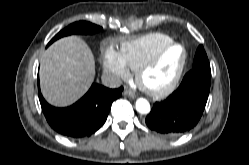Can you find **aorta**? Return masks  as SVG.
I'll return each instance as SVG.
<instances>
[{
    "label": "aorta",
    "mask_w": 249,
    "mask_h": 165,
    "mask_svg": "<svg viewBox=\"0 0 249 165\" xmlns=\"http://www.w3.org/2000/svg\"><path fill=\"white\" fill-rule=\"evenodd\" d=\"M135 106L137 112L140 114H148L150 112V104L144 98L137 99Z\"/></svg>",
    "instance_id": "obj_1"
}]
</instances>
